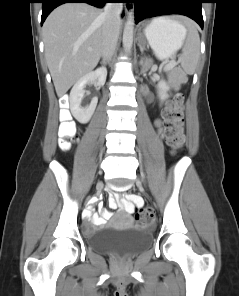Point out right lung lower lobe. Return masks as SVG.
Listing matches in <instances>:
<instances>
[{
  "label": "right lung lower lobe",
  "instance_id": "obj_1",
  "mask_svg": "<svg viewBox=\"0 0 239 296\" xmlns=\"http://www.w3.org/2000/svg\"><path fill=\"white\" fill-rule=\"evenodd\" d=\"M110 1H114V0H40V3H42L41 25L43 24L46 17L54 8H56L57 6L63 3H88L96 7H103L105 3H108ZM117 1H122V0H117Z\"/></svg>",
  "mask_w": 239,
  "mask_h": 296
}]
</instances>
